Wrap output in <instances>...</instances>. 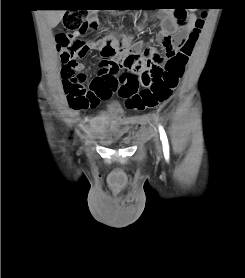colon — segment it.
<instances>
[{
	"label": "colon",
	"instance_id": "1",
	"mask_svg": "<svg viewBox=\"0 0 245 278\" xmlns=\"http://www.w3.org/2000/svg\"><path fill=\"white\" fill-rule=\"evenodd\" d=\"M198 7H194L195 9ZM84 9L68 12L63 19V32L58 37V48L61 50L63 63L62 75L65 81L66 102L72 111H83L98 105L100 95L96 92L93 81L88 82L84 74L75 73L72 67L77 58L88 51V46L83 41L71 39L74 32L96 30L98 21L95 18L87 19ZM205 16V12L201 14ZM181 17V14H177ZM203 25V18L195 21V29L185 40L178 42L179 51L169 57L156 56L155 64L147 62L141 74H129L118 79L112 75L108 78L112 93H116L125 100L128 109L144 111L153 109L167 103L182 79L185 66L191 54V49ZM162 64V66L160 65ZM139 81L145 87L139 90Z\"/></svg>",
	"mask_w": 245,
	"mask_h": 278
}]
</instances>
